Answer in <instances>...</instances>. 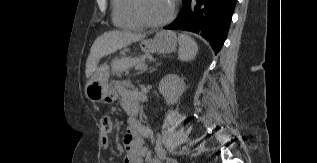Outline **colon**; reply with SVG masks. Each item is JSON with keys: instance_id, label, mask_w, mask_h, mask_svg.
I'll list each match as a JSON object with an SVG mask.
<instances>
[{"instance_id": "1", "label": "colon", "mask_w": 317, "mask_h": 163, "mask_svg": "<svg viewBox=\"0 0 317 163\" xmlns=\"http://www.w3.org/2000/svg\"><path fill=\"white\" fill-rule=\"evenodd\" d=\"M107 101H108V102H111V101H112V99H111V98H109Z\"/></svg>"}]
</instances>
